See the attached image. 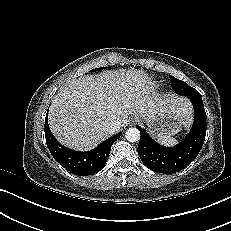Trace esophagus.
<instances>
[{
	"label": "esophagus",
	"instance_id": "34e87169",
	"mask_svg": "<svg viewBox=\"0 0 231 231\" xmlns=\"http://www.w3.org/2000/svg\"><path fill=\"white\" fill-rule=\"evenodd\" d=\"M130 121H131L132 124H134V123L138 122L139 120H138V118L133 117V118H131Z\"/></svg>",
	"mask_w": 231,
	"mask_h": 231
}]
</instances>
